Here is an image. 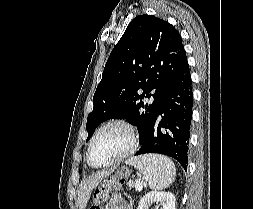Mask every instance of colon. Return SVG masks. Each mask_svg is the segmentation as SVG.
<instances>
[{
  "mask_svg": "<svg viewBox=\"0 0 253 209\" xmlns=\"http://www.w3.org/2000/svg\"><path fill=\"white\" fill-rule=\"evenodd\" d=\"M121 181H124V179H121ZM114 183L115 182H109V180H107L101 187L97 188L95 190L94 202L88 209H100L98 204L102 201L105 193L114 185Z\"/></svg>",
  "mask_w": 253,
  "mask_h": 209,
  "instance_id": "1",
  "label": "colon"
}]
</instances>
